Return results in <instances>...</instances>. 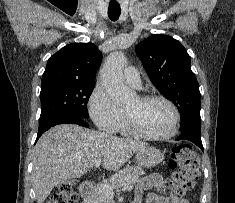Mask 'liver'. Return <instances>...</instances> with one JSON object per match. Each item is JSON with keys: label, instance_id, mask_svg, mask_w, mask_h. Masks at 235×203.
Here are the masks:
<instances>
[{"label": "liver", "instance_id": "6515ba94", "mask_svg": "<svg viewBox=\"0 0 235 203\" xmlns=\"http://www.w3.org/2000/svg\"><path fill=\"white\" fill-rule=\"evenodd\" d=\"M144 146L138 140L74 124L51 128L34 148L32 180L37 203H43L58 184L86 174L97 159L103 158L106 170L116 171Z\"/></svg>", "mask_w": 235, "mask_h": 203}]
</instances>
